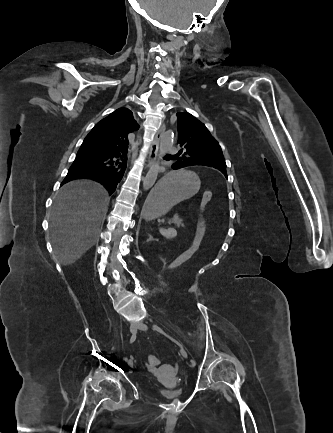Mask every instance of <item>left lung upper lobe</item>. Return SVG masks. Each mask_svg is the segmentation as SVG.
Listing matches in <instances>:
<instances>
[{"label":"left lung upper lobe","instance_id":"5c2ea615","mask_svg":"<svg viewBox=\"0 0 333 433\" xmlns=\"http://www.w3.org/2000/svg\"><path fill=\"white\" fill-rule=\"evenodd\" d=\"M178 143L182 148L174 164V170L187 166H209L220 170L225 176L226 163L219 144L206 126L188 112L177 113Z\"/></svg>","mask_w":333,"mask_h":433}]
</instances>
